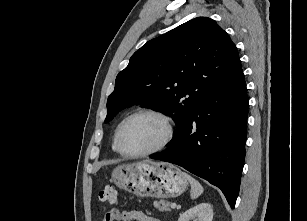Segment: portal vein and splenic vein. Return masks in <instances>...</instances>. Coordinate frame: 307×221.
<instances>
[{
	"instance_id": "obj_1",
	"label": "portal vein and splenic vein",
	"mask_w": 307,
	"mask_h": 221,
	"mask_svg": "<svg viewBox=\"0 0 307 221\" xmlns=\"http://www.w3.org/2000/svg\"><path fill=\"white\" fill-rule=\"evenodd\" d=\"M171 208H172V209H175V208H176V203H172V204H171Z\"/></svg>"
}]
</instances>
